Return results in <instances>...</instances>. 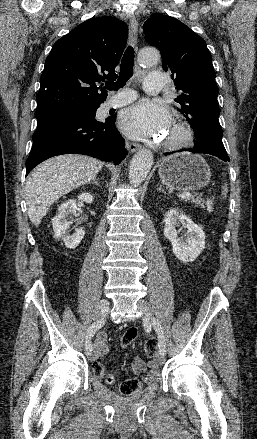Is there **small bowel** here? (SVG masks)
Segmentation results:
<instances>
[{
  "mask_svg": "<svg viewBox=\"0 0 257 439\" xmlns=\"http://www.w3.org/2000/svg\"><path fill=\"white\" fill-rule=\"evenodd\" d=\"M96 358L104 357L108 352L107 338L104 334H99L95 339ZM130 370L132 374L140 378L141 383H151L159 373L158 366L155 361L145 363L140 357H134Z\"/></svg>",
  "mask_w": 257,
  "mask_h": 439,
  "instance_id": "small-bowel-1",
  "label": "small bowel"
}]
</instances>
